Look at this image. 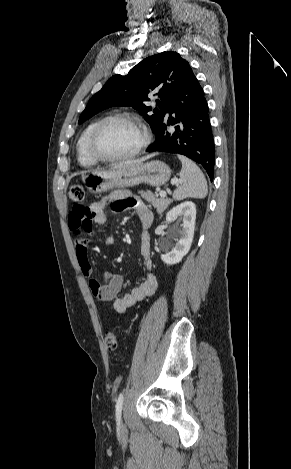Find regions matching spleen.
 Returning a JSON list of instances; mask_svg holds the SVG:
<instances>
[{
	"label": "spleen",
	"instance_id": "1",
	"mask_svg": "<svg viewBox=\"0 0 291 469\" xmlns=\"http://www.w3.org/2000/svg\"><path fill=\"white\" fill-rule=\"evenodd\" d=\"M182 163L180 178L182 185L173 193L174 200H183L185 198L206 197L208 192L207 182L200 168L185 156L178 155Z\"/></svg>",
	"mask_w": 291,
	"mask_h": 469
}]
</instances>
